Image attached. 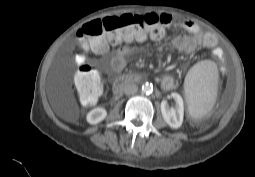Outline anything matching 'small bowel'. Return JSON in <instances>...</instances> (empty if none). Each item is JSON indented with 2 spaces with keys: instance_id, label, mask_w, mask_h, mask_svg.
<instances>
[{
  "instance_id": "obj_1",
  "label": "small bowel",
  "mask_w": 255,
  "mask_h": 177,
  "mask_svg": "<svg viewBox=\"0 0 255 177\" xmlns=\"http://www.w3.org/2000/svg\"><path fill=\"white\" fill-rule=\"evenodd\" d=\"M162 15L167 22V26H175L187 31L190 34L189 36L180 35L172 40V46L176 50L185 53H191L199 47L212 48L216 45L217 40L215 36L210 33H203V30L198 23L192 20L174 17L170 14ZM163 35L164 31L158 38H161ZM145 38L146 36L137 41H144ZM130 53L131 50L127 45H121L115 50L114 56L111 60V68L114 72H121L125 68L127 64V58ZM161 86L164 90H171L174 87L173 78L170 76H165L161 81Z\"/></svg>"
}]
</instances>
